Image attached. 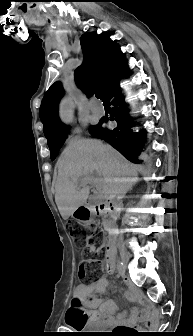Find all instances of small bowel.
Segmentation results:
<instances>
[{
    "mask_svg": "<svg viewBox=\"0 0 193 336\" xmlns=\"http://www.w3.org/2000/svg\"><path fill=\"white\" fill-rule=\"evenodd\" d=\"M105 270L107 274H112L115 271V266L106 261ZM108 280L105 277H100L90 284H78L74 289V294L80 298H86L94 294H105L108 288ZM126 296L131 300H137L139 295L136 292H128ZM116 312V305L111 300L95 301L91 303V310L88 313L73 312L71 319L68 322L69 325L76 327L77 329L83 328L85 323L96 322L100 319L106 325L113 324L116 320L114 313ZM126 321L130 325H135L137 319L133 314L126 316ZM140 321L143 324H150L152 320L147 317H142ZM103 327L105 325H102Z\"/></svg>",
    "mask_w": 193,
    "mask_h": 336,
    "instance_id": "c3829d8e",
    "label": "small bowel"
}]
</instances>
